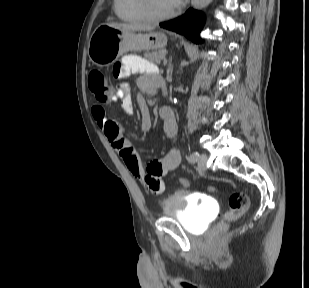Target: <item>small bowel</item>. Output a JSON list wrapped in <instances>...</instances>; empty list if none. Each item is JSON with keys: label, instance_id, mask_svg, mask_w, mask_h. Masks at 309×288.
Listing matches in <instances>:
<instances>
[{"label": "small bowel", "instance_id": "1", "mask_svg": "<svg viewBox=\"0 0 309 288\" xmlns=\"http://www.w3.org/2000/svg\"><path fill=\"white\" fill-rule=\"evenodd\" d=\"M132 73L141 74L137 81L140 90L153 92L163 83L155 66L137 55L124 56L113 67V74L117 78H123ZM112 100H120L121 111L124 114L131 115L133 113V100L128 84L121 83L113 92ZM137 103L141 114L142 129L150 130L149 110L141 96L137 97ZM92 114L112 148L120 155L129 173L139 179L150 193L161 194L164 191V176L174 171L180 164L179 151L175 147H171L161 159L153 160L144 166L131 140L123 136L117 122L107 118L104 108L100 105L93 106ZM160 116L167 137L174 139L177 135V120L174 111L171 108L163 107L160 109Z\"/></svg>", "mask_w": 309, "mask_h": 288}]
</instances>
